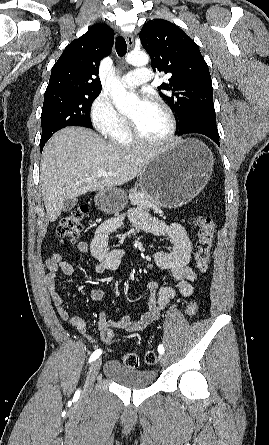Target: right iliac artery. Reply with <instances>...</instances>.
<instances>
[{
	"instance_id": "82829eb1",
	"label": "right iliac artery",
	"mask_w": 269,
	"mask_h": 445,
	"mask_svg": "<svg viewBox=\"0 0 269 445\" xmlns=\"http://www.w3.org/2000/svg\"><path fill=\"white\" fill-rule=\"evenodd\" d=\"M101 354H102V350L101 349L95 350L92 353V355L90 356L89 362H92V361L96 360Z\"/></svg>"
}]
</instances>
